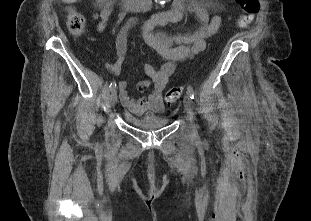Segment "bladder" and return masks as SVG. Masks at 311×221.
Returning a JSON list of instances; mask_svg holds the SVG:
<instances>
[{"label":"bladder","mask_w":311,"mask_h":221,"mask_svg":"<svg viewBox=\"0 0 311 221\" xmlns=\"http://www.w3.org/2000/svg\"><path fill=\"white\" fill-rule=\"evenodd\" d=\"M123 115L129 118V123L145 131L166 128L170 124V119L164 118L161 114L144 113L141 116H135L131 112L125 110Z\"/></svg>","instance_id":"obj_1"}]
</instances>
